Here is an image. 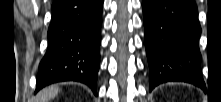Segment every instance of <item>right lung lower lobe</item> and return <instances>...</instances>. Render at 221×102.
I'll use <instances>...</instances> for the list:
<instances>
[{"label":"right lung lower lobe","mask_w":221,"mask_h":102,"mask_svg":"<svg viewBox=\"0 0 221 102\" xmlns=\"http://www.w3.org/2000/svg\"><path fill=\"white\" fill-rule=\"evenodd\" d=\"M102 7L103 0H54L35 92L52 83L78 81L97 95Z\"/></svg>","instance_id":"1"}]
</instances>
